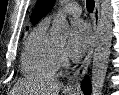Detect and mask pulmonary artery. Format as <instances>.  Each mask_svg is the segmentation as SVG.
Masks as SVG:
<instances>
[{"label":"pulmonary artery","instance_id":"obj_1","mask_svg":"<svg viewBox=\"0 0 119 95\" xmlns=\"http://www.w3.org/2000/svg\"><path fill=\"white\" fill-rule=\"evenodd\" d=\"M63 14H68V15H72V16H78L81 14V7L78 3L76 2H70L68 4H66L62 11ZM55 14H53L52 16H54Z\"/></svg>","mask_w":119,"mask_h":95}]
</instances>
